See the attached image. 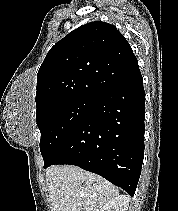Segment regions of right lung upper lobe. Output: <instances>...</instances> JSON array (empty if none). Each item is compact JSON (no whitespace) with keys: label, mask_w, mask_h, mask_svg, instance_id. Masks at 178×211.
I'll use <instances>...</instances> for the list:
<instances>
[{"label":"right lung upper lobe","mask_w":178,"mask_h":211,"mask_svg":"<svg viewBox=\"0 0 178 211\" xmlns=\"http://www.w3.org/2000/svg\"><path fill=\"white\" fill-rule=\"evenodd\" d=\"M138 61L114 25L87 23L58 41L37 74L36 106L97 99L139 73Z\"/></svg>","instance_id":"right-lung-upper-lobe-1"}]
</instances>
